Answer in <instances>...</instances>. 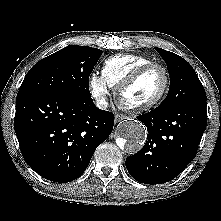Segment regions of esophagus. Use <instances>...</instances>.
Wrapping results in <instances>:
<instances>
[{
    "label": "esophagus",
    "instance_id": "obj_1",
    "mask_svg": "<svg viewBox=\"0 0 221 221\" xmlns=\"http://www.w3.org/2000/svg\"><path fill=\"white\" fill-rule=\"evenodd\" d=\"M124 119H126V116L120 115V114H117V115H115V117H114L115 123H119L120 121H122V120H124Z\"/></svg>",
    "mask_w": 221,
    "mask_h": 221
}]
</instances>
